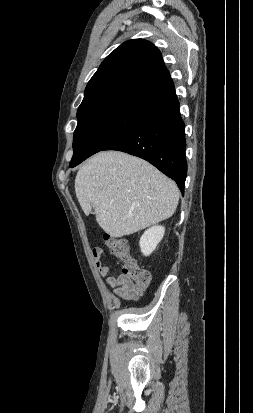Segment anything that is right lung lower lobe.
<instances>
[{
	"mask_svg": "<svg viewBox=\"0 0 253 413\" xmlns=\"http://www.w3.org/2000/svg\"><path fill=\"white\" fill-rule=\"evenodd\" d=\"M185 125L178 100L151 114L133 131L104 150H118L147 160L184 192L187 174Z\"/></svg>",
	"mask_w": 253,
	"mask_h": 413,
	"instance_id": "1",
	"label": "right lung lower lobe"
}]
</instances>
